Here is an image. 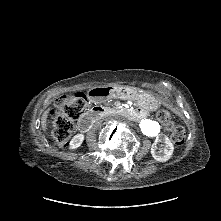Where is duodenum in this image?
<instances>
[{"label": "duodenum", "instance_id": "obj_1", "mask_svg": "<svg viewBox=\"0 0 221 221\" xmlns=\"http://www.w3.org/2000/svg\"><path fill=\"white\" fill-rule=\"evenodd\" d=\"M125 94L123 88H109L108 86L92 87L88 91V98L92 102L108 101L112 95L120 96ZM116 114V116H126L129 120H135L136 114L133 111H129L126 107L115 106H94L88 109V111L79 119L78 127L82 132L90 130L95 118L102 114Z\"/></svg>", "mask_w": 221, "mask_h": 221}]
</instances>
